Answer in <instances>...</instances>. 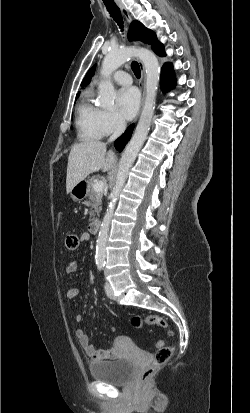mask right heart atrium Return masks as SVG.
Returning <instances> with one entry per match:
<instances>
[{"instance_id":"obj_1","label":"right heart atrium","mask_w":250,"mask_h":413,"mask_svg":"<svg viewBox=\"0 0 250 413\" xmlns=\"http://www.w3.org/2000/svg\"><path fill=\"white\" fill-rule=\"evenodd\" d=\"M100 125L103 136H106L122 131L125 127V121L115 110H102Z\"/></svg>"}]
</instances>
